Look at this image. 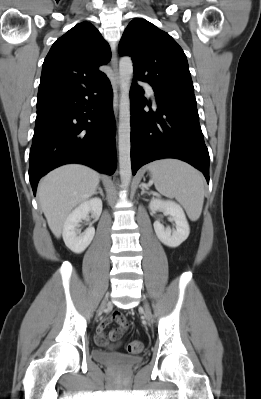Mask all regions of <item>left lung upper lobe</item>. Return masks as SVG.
<instances>
[{"mask_svg": "<svg viewBox=\"0 0 261 399\" xmlns=\"http://www.w3.org/2000/svg\"><path fill=\"white\" fill-rule=\"evenodd\" d=\"M118 50L122 56H131L133 80L148 81L158 95L195 99L186 55L168 33L144 19H134Z\"/></svg>", "mask_w": 261, "mask_h": 399, "instance_id": "obj_1", "label": "left lung upper lobe"}]
</instances>
